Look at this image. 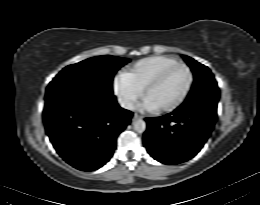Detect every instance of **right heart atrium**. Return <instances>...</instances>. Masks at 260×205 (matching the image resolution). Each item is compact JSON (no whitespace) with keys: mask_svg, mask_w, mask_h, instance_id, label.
Wrapping results in <instances>:
<instances>
[{"mask_svg":"<svg viewBox=\"0 0 260 205\" xmlns=\"http://www.w3.org/2000/svg\"><path fill=\"white\" fill-rule=\"evenodd\" d=\"M114 91L124 108L132 109L141 97L142 91L128 82L123 74L118 76L114 82Z\"/></svg>","mask_w":260,"mask_h":205,"instance_id":"d8ad5b80","label":"right heart atrium"}]
</instances>
